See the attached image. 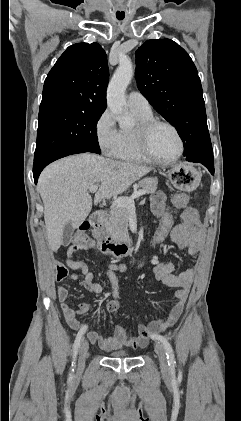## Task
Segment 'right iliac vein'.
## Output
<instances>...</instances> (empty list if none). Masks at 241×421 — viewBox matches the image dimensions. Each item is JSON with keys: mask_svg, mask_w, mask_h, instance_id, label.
I'll return each mask as SVG.
<instances>
[{"mask_svg": "<svg viewBox=\"0 0 241 421\" xmlns=\"http://www.w3.org/2000/svg\"><path fill=\"white\" fill-rule=\"evenodd\" d=\"M89 343L86 340H83L79 348V357H78V372H82L85 367V360L88 354Z\"/></svg>", "mask_w": 241, "mask_h": 421, "instance_id": "1", "label": "right iliac vein"}]
</instances>
